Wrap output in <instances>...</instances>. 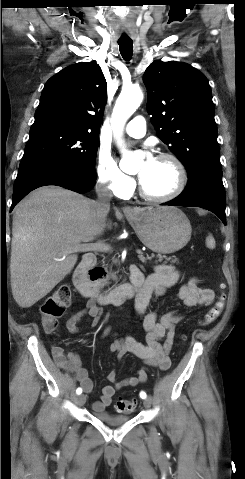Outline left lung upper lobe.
Here are the masks:
<instances>
[{
	"label": "left lung upper lobe",
	"instance_id": "obj_1",
	"mask_svg": "<svg viewBox=\"0 0 245 479\" xmlns=\"http://www.w3.org/2000/svg\"><path fill=\"white\" fill-rule=\"evenodd\" d=\"M143 81L151 122L188 176L205 165L219 163L215 110L207 78L189 64L156 61L146 69Z\"/></svg>",
	"mask_w": 245,
	"mask_h": 479
}]
</instances>
